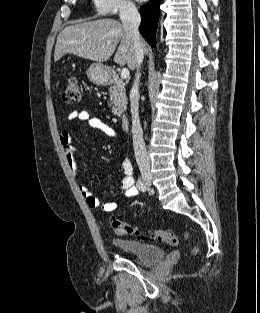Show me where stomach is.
Returning a JSON list of instances; mask_svg holds the SVG:
<instances>
[{
  "label": "stomach",
  "instance_id": "1",
  "mask_svg": "<svg viewBox=\"0 0 260 313\" xmlns=\"http://www.w3.org/2000/svg\"><path fill=\"white\" fill-rule=\"evenodd\" d=\"M89 80L96 85H104L109 80V72L101 63H93L87 70Z\"/></svg>",
  "mask_w": 260,
  "mask_h": 313
}]
</instances>
